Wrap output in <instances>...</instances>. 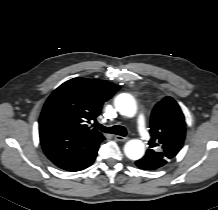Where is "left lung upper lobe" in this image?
<instances>
[{"label":"left lung upper lobe","mask_w":218,"mask_h":210,"mask_svg":"<svg viewBox=\"0 0 218 210\" xmlns=\"http://www.w3.org/2000/svg\"><path fill=\"white\" fill-rule=\"evenodd\" d=\"M186 123L184 115L171 97H165L151 114L149 149L146 156L160 166L167 164L182 148Z\"/></svg>","instance_id":"left-lung-upper-lobe-1"}]
</instances>
